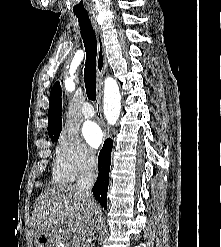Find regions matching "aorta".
I'll list each match as a JSON object with an SVG mask.
<instances>
[{"instance_id": "1", "label": "aorta", "mask_w": 221, "mask_h": 247, "mask_svg": "<svg viewBox=\"0 0 221 247\" xmlns=\"http://www.w3.org/2000/svg\"><path fill=\"white\" fill-rule=\"evenodd\" d=\"M65 88L72 92L75 89L73 78L65 80ZM104 112L108 122L115 123L121 112V94L116 80L109 77L105 80Z\"/></svg>"}]
</instances>
